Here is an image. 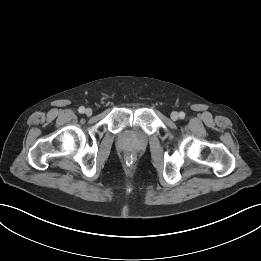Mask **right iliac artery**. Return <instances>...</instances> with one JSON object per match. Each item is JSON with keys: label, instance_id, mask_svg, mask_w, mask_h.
Here are the masks:
<instances>
[{"label": "right iliac artery", "instance_id": "82829eb1", "mask_svg": "<svg viewBox=\"0 0 261 261\" xmlns=\"http://www.w3.org/2000/svg\"><path fill=\"white\" fill-rule=\"evenodd\" d=\"M78 111H79L80 113H84V112H85V108H84L83 106H81V107H79Z\"/></svg>", "mask_w": 261, "mask_h": 261}]
</instances>
